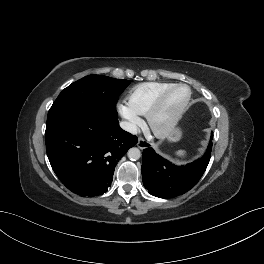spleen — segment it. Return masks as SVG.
<instances>
[{
	"label": "spleen",
	"mask_w": 264,
	"mask_h": 264,
	"mask_svg": "<svg viewBox=\"0 0 264 264\" xmlns=\"http://www.w3.org/2000/svg\"><path fill=\"white\" fill-rule=\"evenodd\" d=\"M178 157L184 158L186 156V151L185 150H178L175 153Z\"/></svg>",
	"instance_id": "spleen-1"
}]
</instances>
